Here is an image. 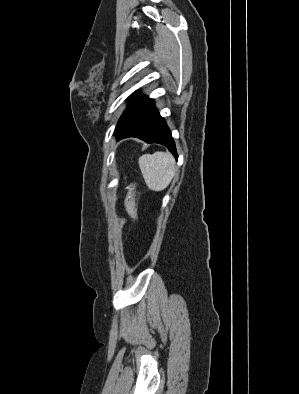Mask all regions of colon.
Wrapping results in <instances>:
<instances>
[{
    "label": "colon",
    "mask_w": 299,
    "mask_h": 394,
    "mask_svg": "<svg viewBox=\"0 0 299 394\" xmlns=\"http://www.w3.org/2000/svg\"><path fill=\"white\" fill-rule=\"evenodd\" d=\"M125 208L127 213L134 219L137 220L138 212L136 206V186L134 183H130L127 186V194L125 198Z\"/></svg>",
    "instance_id": "5ec220e1"
}]
</instances>
